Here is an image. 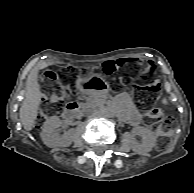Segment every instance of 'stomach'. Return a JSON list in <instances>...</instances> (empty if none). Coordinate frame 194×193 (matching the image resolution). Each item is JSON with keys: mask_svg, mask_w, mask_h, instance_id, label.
Segmentation results:
<instances>
[{"mask_svg": "<svg viewBox=\"0 0 194 193\" xmlns=\"http://www.w3.org/2000/svg\"><path fill=\"white\" fill-rule=\"evenodd\" d=\"M76 87L83 93L95 95L105 94L110 89L109 83L97 74L79 77L76 82Z\"/></svg>", "mask_w": 194, "mask_h": 193, "instance_id": "1", "label": "stomach"}]
</instances>
